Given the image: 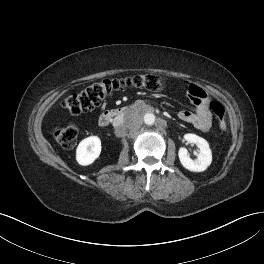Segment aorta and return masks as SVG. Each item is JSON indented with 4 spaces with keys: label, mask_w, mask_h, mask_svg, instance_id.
I'll list each match as a JSON object with an SVG mask.
<instances>
[{
    "label": "aorta",
    "mask_w": 264,
    "mask_h": 264,
    "mask_svg": "<svg viewBox=\"0 0 264 264\" xmlns=\"http://www.w3.org/2000/svg\"><path fill=\"white\" fill-rule=\"evenodd\" d=\"M155 115L152 113H146L143 117L144 123L146 125H153L155 123Z\"/></svg>",
    "instance_id": "aorta-1"
}]
</instances>
